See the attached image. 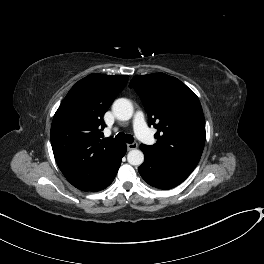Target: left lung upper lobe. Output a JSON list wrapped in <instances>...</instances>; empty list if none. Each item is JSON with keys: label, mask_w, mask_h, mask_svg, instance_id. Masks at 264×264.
Returning a JSON list of instances; mask_svg holds the SVG:
<instances>
[{"label": "left lung upper lobe", "mask_w": 264, "mask_h": 264, "mask_svg": "<svg viewBox=\"0 0 264 264\" xmlns=\"http://www.w3.org/2000/svg\"><path fill=\"white\" fill-rule=\"evenodd\" d=\"M140 96L156 144L141 145L159 160L194 170L205 144V119L195 93L164 73L136 75L129 84Z\"/></svg>", "instance_id": "5c2ea615"}]
</instances>
